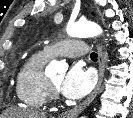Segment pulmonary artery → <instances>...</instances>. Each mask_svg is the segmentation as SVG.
I'll use <instances>...</instances> for the list:
<instances>
[{"mask_svg":"<svg viewBox=\"0 0 133 118\" xmlns=\"http://www.w3.org/2000/svg\"><path fill=\"white\" fill-rule=\"evenodd\" d=\"M87 51V44L83 40L78 39L62 40L44 48V53L49 57L64 56L67 58H78L86 55Z\"/></svg>","mask_w":133,"mask_h":118,"instance_id":"1","label":"pulmonary artery"}]
</instances>
